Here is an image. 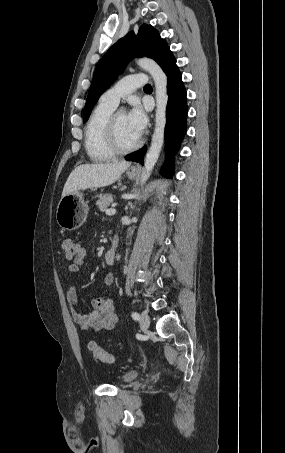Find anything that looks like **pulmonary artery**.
I'll list each match as a JSON object with an SVG mask.
<instances>
[{
    "label": "pulmonary artery",
    "instance_id": "pulmonary-artery-1",
    "mask_svg": "<svg viewBox=\"0 0 285 453\" xmlns=\"http://www.w3.org/2000/svg\"><path fill=\"white\" fill-rule=\"evenodd\" d=\"M147 82V76L142 73L130 74L119 80L114 86L109 88L101 97V100L117 107L121 98L132 93L136 88L143 86Z\"/></svg>",
    "mask_w": 285,
    "mask_h": 453
}]
</instances>
